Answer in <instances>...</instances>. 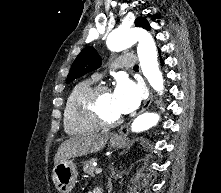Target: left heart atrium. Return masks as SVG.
<instances>
[{
  "label": "left heart atrium",
  "instance_id": "left-heart-atrium-1",
  "mask_svg": "<svg viewBox=\"0 0 221 193\" xmlns=\"http://www.w3.org/2000/svg\"><path fill=\"white\" fill-rule=\"evenodd\" d=\"M117 111L122 114L133 112L141 103L143 92L140 85L128 78H120L112 92Z\"/></svg>",
  "mask_w": 221,
  "mask_h": 193
}]
</instances>
